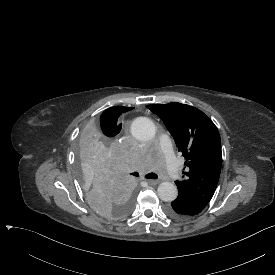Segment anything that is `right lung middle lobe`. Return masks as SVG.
I'll list each match as a JSON object with an SVG mask.
<instances>
[{
  "mask_svg": "<svg viewBox=\"0 0 275 275\" xmlns=\"http://www.w3.org/2000/svg\"><path fill=\"white\" fill-rule=\"evenodd\" d=\"M78 177L90 206L104 217L122 219L133 207L132 186L122 170L117 145L103 142L101 129L88 123L77 141Z\"/></svg>",
  "mask_w": 275,
  "mask_h": 275,
  "instance_id": "dd1d6c3e",
  "label": "right lung middle lobe"
}]
</instances>
